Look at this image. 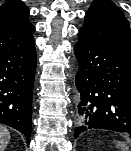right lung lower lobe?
Segmentation results:
<instances>
[{"label":"right lung lower lobe","instance_id":"98d812e1","mask_svg":"<svg viewBox=\"0 0 131 151\" xmlns=\"http://www.w3.org/2000/svg\"><path fill=\"white\" fill-rule=\"evenodd\" d=\"M34 31L18 36H0V123L22 132L28 142L37 64Z\"/></svg>","mask_w":131,"mask_h":151}]
</instances>
